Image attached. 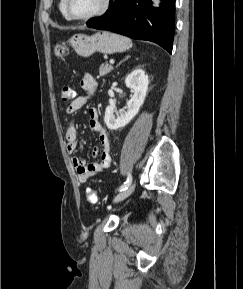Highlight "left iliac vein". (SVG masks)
<instances>
[{
    "instance_id": "obj_1",
    "label": "left iliac vein",
    "mask_w": 243,
    "mask_h": 289,
    "mask_svg": "<svg viewBox=\"0 0 243 289\" xmlns=\"http://www.w3.org/2000/svg\"><path fill=\"white\" fill-rule=\"evenodd\" d=\"M135 182L131 183L127 189L123 190L122 192H120L118 195L115 196V198L113 199V202H120L124 199H126L128 196H130L132 194V192L135 190Z\"/></svg>"
}]
</instances>
